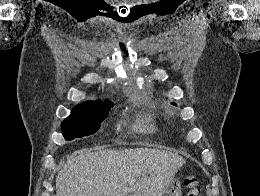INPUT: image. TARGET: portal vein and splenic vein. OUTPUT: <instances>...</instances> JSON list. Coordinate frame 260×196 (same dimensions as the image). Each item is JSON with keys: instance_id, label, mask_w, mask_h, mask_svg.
<instances>
[{"instance_id": "portal-vein-and-splenic-vein-1", "label": "portal vein and splenic vein", "mask_w": 260, "mask_h": 196, "mask_svg": "<svg viewBox=\"0 0 260 196\" xmlns=\"http://www.w3.org/2000/svg\"><path fill=\"white\" fill-rule=\"evenodd\" d=\"M129 188H125V190H123L124 194H127Z\"/></svg>"}]
</instances>
